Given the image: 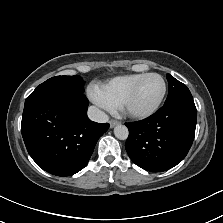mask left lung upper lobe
Masks as SVG:
<instances>
[{
    "mask_svg": "<svg viewBox=\"0 0 223 223\" xmlns=\"http://www.w3.org/2000/svg\"><path fill=\"white\" fill-rule=\"evenodd\" d=\"M169 93L164 105L175 103H194L193 97L186 85L167 74Z\"/></svg>",
    "mask_w": 223,
    "mask_h": 223,
    "instance_id": "left-lung-upper-lobe-1",
    "label": "left lung upper lobe"
}]
</instances>
